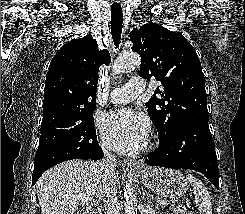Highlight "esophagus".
I'll list each match as a JSON object with an SVG mask.
<instances>
[{
  "instance_id": "obj_1",
  "label": "esophagus",
  "mask_w": 245,
  "mask_h": 214,
  "mask_svg": "<svg viewBox=\"0 0 245 214\" xmlns=\"http://www.w3.org/2000/svg\"><path fill=\"white\" fill-rule=\"evenodd\" d=\"M124 164H125V165H128V166H132V167H139V166L141 165V163L136 162V161H134V160H132V159H127V160H125V161H124Z\"/></svg>"
}]
</instances>
